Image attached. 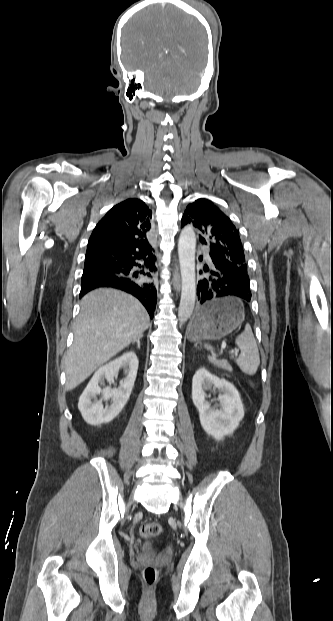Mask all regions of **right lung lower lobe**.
I'll use <instances>...</instances> for the list:
<instances>
[{
	"mask_svg": "<svg viewBox=\"0 0 333 621\" xmlns=\"http://www.w3.org/2000/svg\"><path fill=\"white\" fill-rule=\"evenodd\" d=\"M152 247L144 252L125 254H103L88 256L85 259L81 279L80 298L99 287H113L138 298L153 318L157 302L156 288L152 283L142 281L143 276H151L155 271L156 257ZM137 261H142L139 264ZM134 267L142 268L135 270Z\"/></svg>",
	"mask_w": 333,
	"mask_h": 621,
	"instance_id": "right-lung-lower-lobe-1",
	"label": "right lung lower lobe"
}]
</instances>
